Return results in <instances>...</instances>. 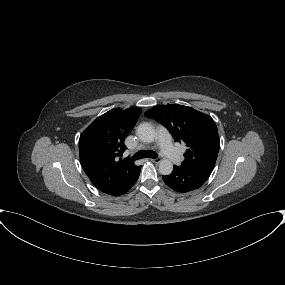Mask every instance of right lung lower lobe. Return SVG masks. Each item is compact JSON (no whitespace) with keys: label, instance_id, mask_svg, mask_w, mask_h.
Instances as JSON below:
<instances>
[{"label":"right lung lower lobe","instance_id":"1","mask_svg":"<svg viewBox=\"0 0 285 285\" xmlns=\"http://www.w3.org/2000/svg\"><path fill=\"white\" fill-rule=\"evenodd\" d=\"M140 169H141V167H140ZM140 169L135 174V176H133L130 180H128L127 182H125L124 184H122L116 188L106 190V191H104V193L112 195V196H120V195L125 194L126 192H128L132 188V186L137 181L139 174H140Z\"/></svg>","mask_w":285,"mask_h":285}]
</instances>
